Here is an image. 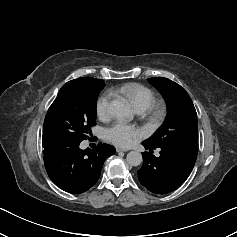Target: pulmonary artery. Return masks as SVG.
<instances>
[{"label": "pulmonary artery", "instance_id": "e3ab8cb5", "mask_svg": "<svg viewBox=\"0 0 237 237\" xmlns=\"http://www.w3.org/2000/svg\"><path fill=\"white\" fill-rule=\"evenodd\" d=\"M138 112H139V113H143L144 111H142V110H138Z\"/></svg>", "mask_w": 237, "mask_h": 237}]
</instances>
